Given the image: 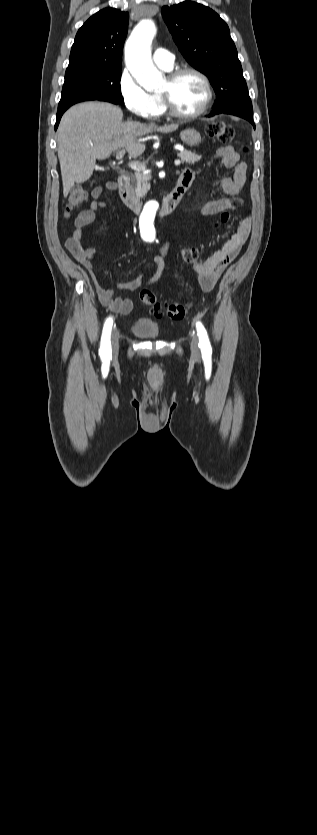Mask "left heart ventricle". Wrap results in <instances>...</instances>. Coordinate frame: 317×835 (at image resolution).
I'll use <instances>...</instances> for the list:
<instances>
[{"label":"left heart ventricle","mask_w":317,"mask_h":835,"mask_svg":"<svg viewBox=\"0 0 317 835\" xmlns=\"http://www.w3.org/2000/svg\"><path fill=\"white\" fill-rule=\"evenodd\" d=\"M161 92H168L175 107L183 113L199 109L206 95L202 81L194 74H185L174 83H170L167 78Z\"/></svg>","instance_id":"1"}]
</instances>
